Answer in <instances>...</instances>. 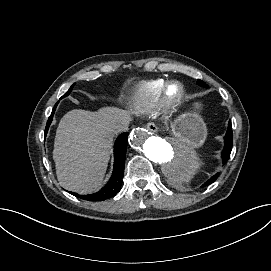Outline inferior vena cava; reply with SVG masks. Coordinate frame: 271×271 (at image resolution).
<instances>
[{
	"mask_svg": "<svg viewBox=\"0 0 271 271\" xmlns=\"http://www.w3.org/2000/svg\"><path fill=\"white\" fill-rule=\"evenodd\" d=\"M130 123H131L130 119L123 120V121L119 122L116 125V131L117 132H128L129 131V125H130Z\"/></svg>",
	"mask_w": 271,
	"mask_h": 271,
	"instance_id": "1",
	"label": "inferior vena cava"
}]
</instances>
